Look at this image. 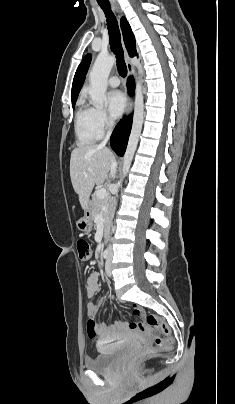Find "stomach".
I'll use <instances>...</instances> for the list:
<instances>
[{
  "instance_id": "obj_1",
  "label": "stomach",
  "mask_w": 235,
  "mask_h": 404,
  "mask_svg": "<svg viewBox=\"0 0 235 404\" xmlns=\"http://www.w3.org/2000/svg\"><path fill=\"white\" fill-rule=\"evenodd\" d=\"M76 225L78 230L84 233H89L92 230V217L88 207L85 210L84 216L77 221Z\"/></svg>"
}]
</instances>
